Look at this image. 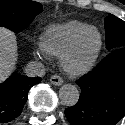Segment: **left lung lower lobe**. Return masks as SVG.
I'll return each instance as SVG.
<instances>
[{
    "label": "left lung lower lobe",
    "instance_id": "1",
    "mask_svg": "<svg viewBox=\"0 0 125 125\" xmlns=\"http://www.w3.org/2000/svg\"><path fill=\"white\" fill-rule=\"evenodd\" d=\"M77 85L79 101L65 109L71 125H115L125 115V47L112 51Z\"/></svg>",
    "mask_w": 125,
    "mask_h": 125
}]
</instances>
